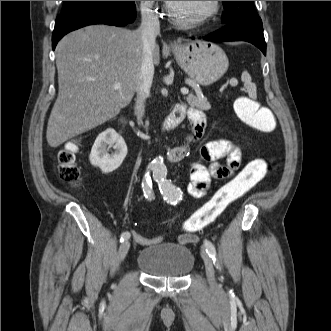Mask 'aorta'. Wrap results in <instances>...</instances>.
I'll list each match as a JSON object with an SVG mask.
<instances>
[{
    "label": "aorta",
    "instance_id": "aorta-1",
    "mask_svg": "<svg viewBox=\"0 0 331 331\" xmlns=\"http://www.w3.org/2000/svg\"><path fill=\"white\" fill-rule=\"evenodd\" d=\"M151 169L155 178H164L166 175V166L164 164L163 158H155L151 163Z\"/></svg>",
    "mask_w": 331,
    "mask_h": 331
}]
</instances>
